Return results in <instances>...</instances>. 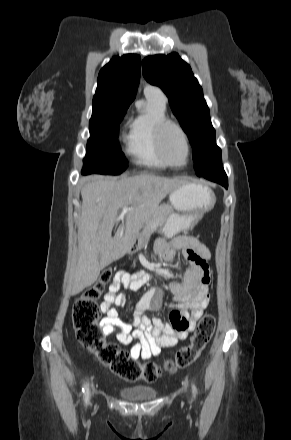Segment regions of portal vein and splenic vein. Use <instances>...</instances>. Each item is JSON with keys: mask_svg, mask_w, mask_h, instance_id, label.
<instances>
[{"mask_svg": "<svg viewBox=\"0 0 291 440\" xmlns=\"http://www.w3.org/2000/svg\"><path fill=\"white\" fill-rule=\"evenodd\" d=\"M132 209H133V207H123V209H122V216L124 214H126L128 211L132 210Z\"/></svg>", "mask_w": 291, "mask_h": 440, "instance_id": "18ae733b", "label": "portal vein and splenic vein"}]
</instances>
